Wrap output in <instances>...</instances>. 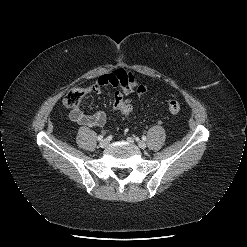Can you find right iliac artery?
Listing matches in <instances>:
<instances>
[{"label":"right iliac artery","instance_id":"1","mask_svg":"<svg viewBox=\"0 0 247 247\" xmlns=\"http://www.w3.org/2000/svg\"><path fill=\"white\" fill-rule=\"evenodd\" d=\"M103 139V135H99L98 137H97V140L98 141H100V140H102Z\"/></svg>","mask_w":247,"mask_h":247}]
</instances>
